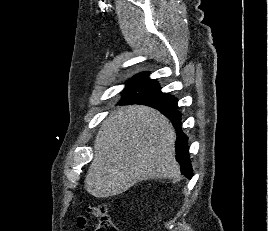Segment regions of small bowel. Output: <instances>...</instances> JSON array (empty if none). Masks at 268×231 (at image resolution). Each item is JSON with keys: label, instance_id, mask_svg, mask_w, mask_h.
<instances>
[{"label": "small bowel", "instance_id": "obj_1", "mask_svg": "<svg viewBox=\"0 0 268 231\" xmlns=\"http://www.w3.org/2000/svg\"><path fill=\"white\" fill-rule=\"evenodd\" d=\"M93 213L94 212H92V215L90 217L82 216V215L76 217V224L79 230L84 231L86 229L87 222L93 216Z\"/></svg>", "mask_w": 268, "mask_h": 231}]
</instances>
